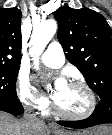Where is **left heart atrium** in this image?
I'll return each mask as SVG.
<instances>
[{
    "label": "left heart atrium",
    "instance_id": "1",
    "mask_svg": "<svg viewBox=\"0 0 112 135\" xmlns=\"http://www.w3.org/2000/svg\"><path fill=\"white\" fill-rule=\"evenodd\" d=\"M67 86V82L64 78H59L55 84V87L52 91L53 98L57 97Z\"/></svg>",
    "mask_w": 112,
    "mask_h": 135
}]
</instances>
